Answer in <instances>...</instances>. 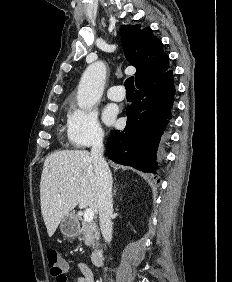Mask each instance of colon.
<instances>
[{
  "instance_id": "colon-1",
  "label": "colon",
  "mask_w": 232,
  "mask_h": 282,
  "mask_svg": "<svg viewBox=\"0 0 232 282\" xmlns=\"http://www.w3.org/2000/svg\"><path fill=\"white\" fill-rule=\"evenodd\" d=\"M46 256L51 275L55 278L65 277L64 261L59 253L54 249H49Z\"/></svg>"
}]
</instances>
